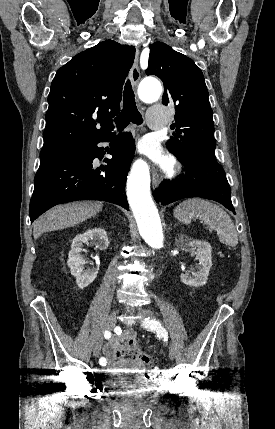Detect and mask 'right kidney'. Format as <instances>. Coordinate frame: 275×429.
<instances>
[{
    "instance_id": "right-kidney-1",
    "label": "right kidney",
    "mask_w": 275,
    "mask_h": 429,
    "mask_svg": "<svg viewBox=\"0 0 275 429\" xmlns=\"http://www.w3.org/2000/svg\"><path fill=\"white\" fill-rule=\"evenodd\" d=\"M95 244L100 250L107 249L109 240L106 231L102 228L87 230L83 234L77 235L71 244V250L68 254L67 265L71 274L76 278V283L80 289L90 285L97 277L99 268L85 269L86 261L81 256L83 244L88 242Z\"/></svg>"
}]
</instances>
